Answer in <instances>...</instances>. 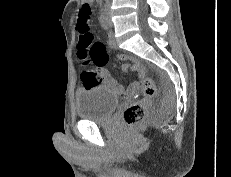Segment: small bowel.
Wrapping results in <instances>:
<instances>
[{"mask_svg": "<svg viewBox=\"0 0 231 177\" xmlns=\"http://www.w3.org/2000/svg\"><path fill=\"white\" fill-rule=\"evenodd\" d=\"M94 0H84L83 5L85 4H90L92 3ZM82 5V6H83ZM107 44L114 47L115 46V41H114V37L111 33L107 34V38H106ZM119 59L121 60H128L129 57L125 54H122L119 56ZM102 66H98V70L95 71L98 74L99 77V81L95 84L92 83H87L83 76H82V81L84 86H93V85H97V84H104L105 86L114 89L115 91L121 93V94H125V95H130L133 94L138 86L139 83L138 82H134L132 83L127 89H124L123 86L115 79L113 78L110 73ZM134 71L136 73H138L139 77L142 78L145 74V67L143 64H141L140 62L135 61L132 65L130 64H123L122 65V71L123 72H127V71Z\"/></svg>", "mask_w": 231, "mask_h": 177, "instance_id": "1", "label": "small bowel"}]
</instances>
